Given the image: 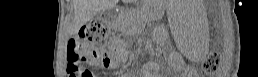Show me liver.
Listing matches in <instances>:
<instances>
[{"mask_svg":"<svg viewBox=\"0 0 258 77\" xmlns=\"http://www.w3.org/2000/svg\"><path fill=\"white\" fill-rule=\"evenodd\" d=\"M117 2L118 0H74L73 33L76 34L97 13L105 11L108 8H113Z\"/></svg>","mask_w":258,"mask_h":77,"instance_id":"6515ba94","label":"liver"}]
</instances>
